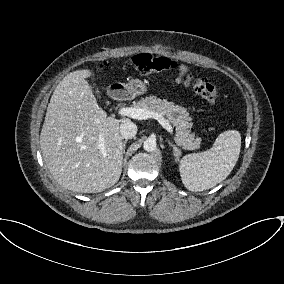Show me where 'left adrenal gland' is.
<instances>
[{
	"label": "left adrenal gland",
	"instance_id": "left-adrenal-gland-1",
	"mask_svg": "<svg viewBox=\"0 0 284 284\" xmlns=\"http://www.w3.org/2000/svg\"><path fill=\"white\" fill-rule=\"evenodd\" d=\"M168 144L170 147L173 148V153H174V156L176 157V159L179 157V154L181 153V150L175 145L173 144L172 142L168 141Z\"/></svg>",
	"mask_w": 284,
	"mask_h": 284
}]
</instances>
